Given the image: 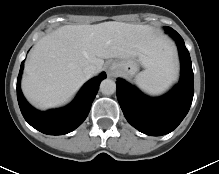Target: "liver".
<instances>
[{
	"label": "liver",
	"instance_id": "obj_1",
	"mask_svg": "<svg viewBox=\"0 0 219 174\" xmlns=\"http://www.w3.org/2000/svg\"><path fill=\"white\" fill-rule=\"evenodd\" d=\"M167 51L173 60L168 42L145 25L116 21L66 25L36 43L25 63L22 91L38 108L59 106L88 79L83 72L87 65L100 72L104 59L139 57L149 68Z\"/></svg>",
	"mask_w": 219,
	"mask_h": 174
}]
</instances>
